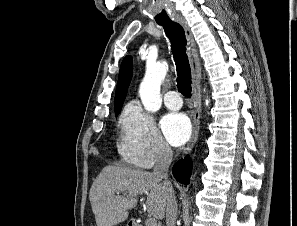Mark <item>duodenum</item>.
Segmentation results:
<instances>
[{"mask_svg": "<svg viewBox=\"0 0 297 226\" xmlns=\"http://www.w3.org/2000/svg\"><path fill=\"white\" fill-rule=\"evenodd\" d=\"M129 226H143L141 223L137 222L136 220H130Z\"/></svg>", "mask_w": 297, "mask_h": 226, "instance_id": "duodenum-1", "label": "duodenum"}]
</instances>
